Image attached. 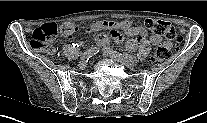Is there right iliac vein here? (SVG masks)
<instances>
[{"label": "right iliac vein", "instance_id": "obj_1", "mask_svg": "<svg viewBox=\"0 0 207 123\" xmlns=\"http://www.w3.org/2000/svg\"><path fill=\"white\" fill-rule=\"evenodd\" d=\"M86 66H87V62H86L85 60H81V61L79 62V67H80V68L84 69Z\"/></svg>", "mask_w": 207, "mask_h": 123}]
</instances>
